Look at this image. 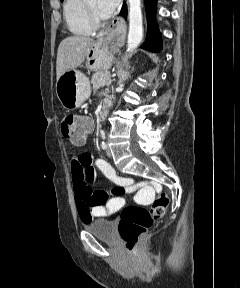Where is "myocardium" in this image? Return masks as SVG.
Listing matches in <instances>:
<instances>
[{
    "instance_id": "obj_1",
    "label": "myocardium",
    "mask_w": 240,
    "mask_h": 288,
    "mask_svg": "<svg viewBox=\"0 0 240 288\" xmlns=\"http://www.w3.org/2000/svg\"><path fill=\"white\" fill-rule=\"evenodd\" d=\"M85 9L87 12L88 22L93 29L103 26L104 20L97 16L93 8L87 3V0H85Z\"/></svg>"
}]
</instances>
